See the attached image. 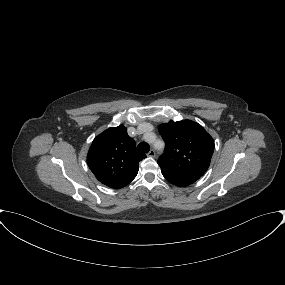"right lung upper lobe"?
<instances>
[{
	"mask_svg": "<svg viewBox=\"0 0 285 285\" xmlns=\"http://www.w3.org/2000/svg\"><path fill=\"white\" fill-rule=\"evenodd\" d=\"M145 157L136 150L135 141L128 136L126 127L120 125L107 129L93 140L87 164L101 183L120 189L136 177L139 162Z\"/></svg>",
	"mask_w": 285,
	"mask_h": 285,
	"instance_id": "1",
	"label": "right lung upper lobe"
}]
</instances>
